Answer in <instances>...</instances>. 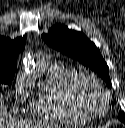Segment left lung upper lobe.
Listing matches in <instances>:
<instances>
[{
	"instance_id": "1",
	"label": "left lung upper lobe",
	"mask_w": 125,
	"mask_h": 128,
	"mask_svg": "<svg viewBox=\"0 0 125 128\" xmlns=\"http://www.w3.org/2000/svg\"><path fill=\"white\" fill-rule=\"evenodd\" d=\"M42 38L54 49L98 72L102 79L111 86L109 68L101 56L100 50L83 33L56 24L49 30L48 34H42ZM118 118L125 123L124 112H121Z\"/></svg>"
}]
</instances>
